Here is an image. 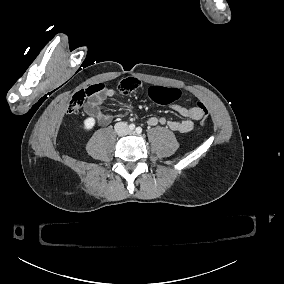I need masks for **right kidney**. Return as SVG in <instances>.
Wrapping results in <instances>:
<instances>
[{
    "label": "right kidney",
    "instance_id": "obj_1",
    "mask_svg": "<svg viewBox=\"0 0 284 284\" xmlns=\"http://www.w3.org/2000/svg\"><path fill=\"white\" fill-rule=\"evenodd\" d=\"M94 125H95V119L92 118V117L87 118L84 121V126H85V129H87V130L92 129Z\"/></svg>",
    "mask_w": 284,
    "mask_h": 284
}]
</instances>
